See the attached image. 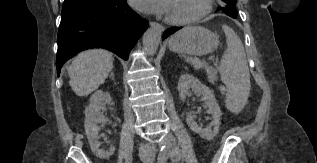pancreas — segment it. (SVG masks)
Listing matches in <instances>:
<instances>
[{"mask_svg":"<svg viewBox=\"0 0 317 163\" xmlns=\"http://www.w3.org/2000/svg\"><path fill=\"white\" fill-rule=\"evenodd\" d=\"M192 64L196 69L204 68L207 71L209 81L214 82L217 79L215 70L206 63L198 59H192Z\"/></svg>","mask_w":317,"mask_h":163,"instance_id":"obj_1","label":"pancreas"}]
</instances>
